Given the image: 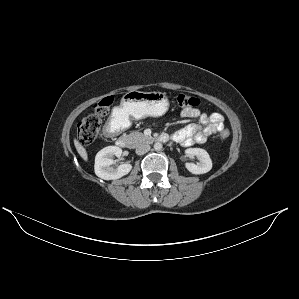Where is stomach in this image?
I'll return each mask as SVG.
<instances>
[{"mask_svg": "<svg viewBox=\"0 0 299 299\" xmlns=\"http://www.w3.org/2000/svg\"><path fill=\"white\" fill-rule=\"evenodd\" d=\"M168 107L166 93L132 90L122 97L120 110L125 117L137 120L146 116H162Z\"/></svg>", "mask_w": 299, "mask_h": 299, "instance_id": "1", "label": "stomach"}]
</instances>
